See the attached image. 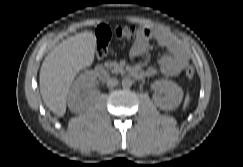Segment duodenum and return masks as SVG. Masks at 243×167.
<instances>
[{
	"label": "duodenum",
	"instance_id": "1",
	"mask_svg": "<svg viewBox=\"0 0 243 167\" xmlns=\"http://www.w3.org/2000/svg\"><path fill=\"white\" fill-rule=\"evenodd\" d=\"M95 74L98 78L103 79L106 76V69L103 65L99 64L95 67ZM134 77H141L139 73H133Z\"/></svg>",
	"mask_w": 243,
	"mask_h": 167
}]
</instances>
